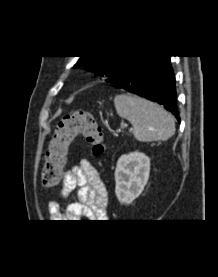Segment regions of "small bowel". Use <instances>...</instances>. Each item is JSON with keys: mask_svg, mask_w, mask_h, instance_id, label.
Masks as SVG:
<instances>
[{"mask_svg": "<svg viewBox=\"0 0 218 277\" xmlns=\"http://www.w3.org/2000/svg\"><path fill=\"white\" fill-rule=\"evenodd\" d=\"M77 188V199L65 207L57 200L49 202L52 220H76L85 217L91 220H103L106 217L107 189L94 165L82 159L78 165L64 175L60 195L66 197Z\"/></svg>", "mask_w": 218, "mask_h": 277, "instance_id": "1", "label": "small bowel"}]
</instances>
